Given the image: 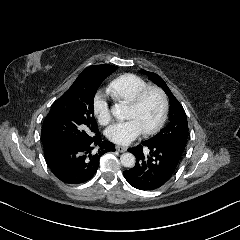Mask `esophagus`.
Instances as JSON below:
<instances>
[{"label": "esophagus", "mask_w": 240, "mask_h": 240, "mask_svg": "<svg viewBox=\"0 0 240 240\" xmlns=\"http://www.w3.org/2000/svg\"><path fill=\"white\" fill-rule=\"evenodd\" d=\"M116 150H117L118 152H120V153H123V152H126V151H127V147L117 145V146H116Z\"/></svg>", "instance_id": "1"}]
</instances>
